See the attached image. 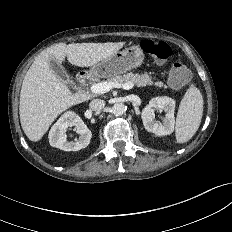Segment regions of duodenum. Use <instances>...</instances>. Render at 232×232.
<instances>
[{"mask_svg": "<svg viewBox=\"0 0 232 232\" xmlns=\"http://www.w3.org/2000/svg\"><path fill=\"white\" fill-rule=\"evenodd\" d=\"M86 79H87V73H85V72H81L77 76V80L79 82H84Z\"/></svg>", "mask_w": 232, "mask_h": 232, "instance_id": "410a0bca", "label": "duodenum"}]
</instances>
